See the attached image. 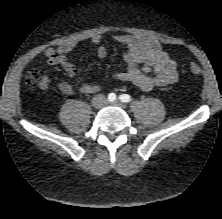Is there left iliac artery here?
<instances>
[{"mask_svg":"<svg viewBox=\"0 0 222 219\" xmlns=\"http://www.w3.org/2000/svg\"><path fill=\"white\" fill-rule=\"evenodd\" d=\"M119 99L122 102H130L131 101V96L128 95V94H122V95L119 96Z\"/></svg>","mask_w":222,"mask_h":219,"instance_id":"44dca946","label":"left iliac artery"}]
</instances>
